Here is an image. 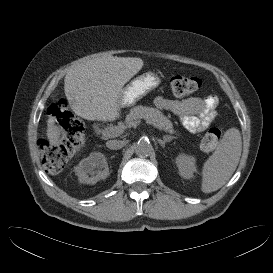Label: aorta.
I'll use <instances>...</instances> for the list:
<instances>
[{
	"label": "aorta",
	"instance_id": "1",
	"mask_svg": "<svg viewBox=\"0 0 273 273\" xmlns=\"http://www.w3.org/2000/svg\"><path fill=\"white\" fill-rule=\"evenodd\" d=\"M152 145L147 140H140L135 145V153L140 157H147L152 153Z\"/></svg>",
	"mask_w": 273,
	"mask_h": 273
}]
</instances>
